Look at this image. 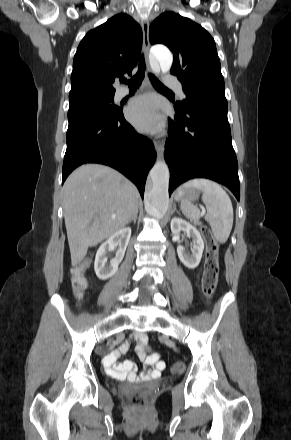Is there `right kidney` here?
I'll return each mask as SVG.
<instances>
[{
  "label": "right kidney",
  "mask_w": 291,
  "mask_h": 440,
  "mask_svg": "<svg viewBox=\"0 0 291 440\" xmlns=\"http://www.w3.org/2000/svg\"><path fill=\"white\" fill-rule=\"evenodd\" d=\"M130 237L131 228L126 227L114 233L101 244L96 253L94 262V270L99 279L106 280L117 272L118 266L123 260ZM117 245H119V249L116 252L115 257L108 263L107 254L114 250Z\"/></svg>",
  "instance_id": "1"
}]
</instances>
